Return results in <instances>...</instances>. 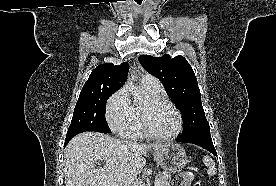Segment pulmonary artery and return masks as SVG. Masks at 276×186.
Returning a JSON list of instances; mask_svg holds the SVG:
<instances>
[{
    "mask_svg": "<svg viewBox=\"0 0 276 186\" xmlns=\"http://www.w3.org/2000/svg\"><path fill=\"white\" fill-rule=\"evenodd\" d=\"M141 84L155 92L161 91V84L158 79L152 75H144L141 79Z\"/></svg>",
    "mask_w": 276,
    "mask_h": 186,
    "instance_id": "1",
    "label": "pulmonary artery"
}]
</instances>
